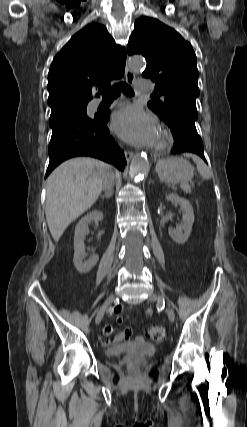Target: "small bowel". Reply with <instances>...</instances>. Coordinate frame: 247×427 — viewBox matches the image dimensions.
I'll return each instance as SVG.
<instances>
[{
  "label": "small bowel",
  "instance_id": "1",
  "mask_svg": "<svg viewBox=\"0 0 247 427\" xmlns=\"http://www.w3.org/2000/svg\"><path fill=\"white\" fill-rule=\"evenodd\" d=\"M122 307L115 308V320L117 323H121L123 321V317L121 315ZM146 315L150 317L152 315V310L147 309ZM104 338L102 339V343L107 345L110 343V337L113 334V327L109 323H106L103 327ZM134 330L131 327L126 328L123 332H120L115 335V341L120 342L124 340H130L133 337ZM136 340H142L143 337L141 335H137L134 337Z\"/></svg>",
  "mask_w": 247,
  "mask_h": 427
}]
</instances>
